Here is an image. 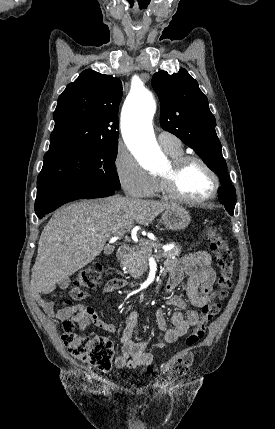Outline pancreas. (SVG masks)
I'll use <instances>...</instances> for the list:
<instances>
[{
    "instance_id": "pancreas-1",
    "label": "pancreas",
    "mask_w": 275,
    "mask_h": 429,
    "mask_svg": "<svg viewBox=\"0 0 275 429\" xmlns=\"http://www.w3.org/2000/svg\"><path fill=\"white\" fill-rule=\"evenodd\" d=\"M155 248L159 249L160 247L158 244L147 240L141 241L137 247L132 249L128 258L121 263L127 267L126 273L134 278L142 276L143 272L147 270L149 255ZM180 249V246H174L171 250H160L159 253L165 258L171 259L180 254Z\"/></svg>"
}]
</instances>
